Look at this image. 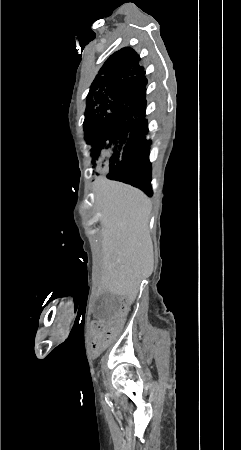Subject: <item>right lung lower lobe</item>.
<instances>
[{
    "label": "right lung lower lobe",
    "instance_id": "obj_1",
    "mask_svg": "<svg viewBox=\"0 0 241 450\" xmlns=\"http://www.w3.org/2000/svg\"><path fill=\"white\" fill-rule=\"evenodd\" d=\"M136 127H139V131L143 132L144 135L147 134L148 126L145 119L136 124ZM149 146L150 141L144 137L130 153L123 156L122 160L109 171L107 178L131 184L151 196Z\"/></svg>",
    "mask_w": 241,
    "mask_h": 450
}]
</instances>
